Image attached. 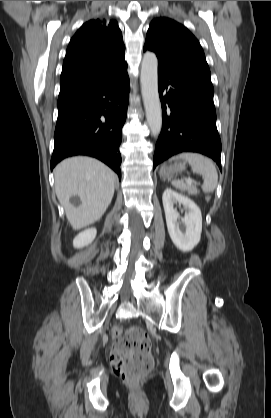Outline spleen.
<instances>
[{
    "instance_id": "obj_1",
    "label": "spleen",
    "mask_w": 271,
    "mask_h": 418,
    "mask_svg": "<svg viewBox=\"0 0 271 418\" xmlns=\"http://www.w3.org/2000/svg\"><path fill=\"white\" fill-rule=\"evenodd\" d=\"M179 158L188 162L194 173L203 176L204 183L202 185V191L204 193H210L214 191L218 183V173L212 160L197 153H183L170 159V161ZM172 185L182 191H190L191 189V187L187 185L183 180H173Z\"/></svg>"
}]
</instances>
